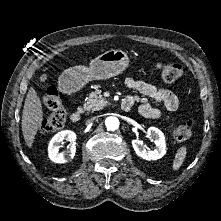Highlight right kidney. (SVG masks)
<instances>
[{"label": "right kidney", "mask_w": 221, "mask_h": 221, "mask_svg": "<svg viewBox=\"0 0 221 221\" xmlns=\"http://www.w3.org/2000/svg\"><path fill=\"white\" fill-rule=\"evenodd\" d=\"M64 140L71 143L69 150L59 152L60 145ZM75 140L76 134L71 130H63L54 135L48 146V156L50 160L59 164L72 160L76 152Z\"/></svg>", "instance_id": "right-kidney-1"}]
</instances>
